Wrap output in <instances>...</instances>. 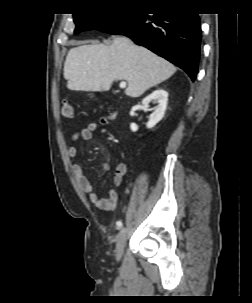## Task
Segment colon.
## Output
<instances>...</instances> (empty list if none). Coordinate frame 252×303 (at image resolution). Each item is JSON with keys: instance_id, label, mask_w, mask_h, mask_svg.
<instances>
[{"instance_id": "obj_1", "label": "colon", "mask_w": 252, "mask_h": 303, "mask_svg": "<svg viewBox=\"0 0 252 303\" xmlns=\"http://www.w3.org/2000/svg\"><path fill=\"white\" fill-rule=\"evenodd\" d=\"M61 113L66 118H72L74 116V105L69 99L63 101Z\"/></svg>"}]
</instances>
